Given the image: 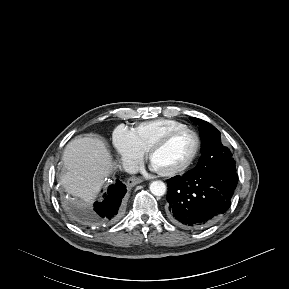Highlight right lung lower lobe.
<instances>
[{
  "label": "right lung lower lobe",
  "mask_w": 289,
  "mask_h": 289,
  "mask_svg": "<svg viewBox=\"0 0 289 289\" xmlns=\"http://www.w3.org/2000/svg\"><path fill=\"white\" fill-rule=\"evenodd\" d=\"M126 186L119 180L108 188L102 202H95L94 212L91 214V222L97 226H108L114 223L120 216V205L126 193Z\"/></svg>",
  "instance_id": "1"
}]
</instances>
